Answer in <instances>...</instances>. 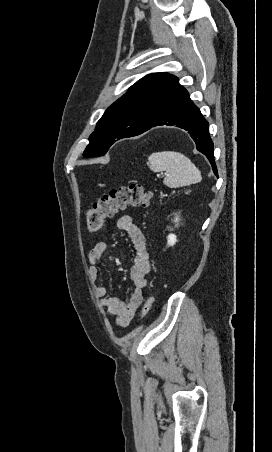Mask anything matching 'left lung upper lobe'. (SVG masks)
Instances as JSON below:
<instances>
[{
	"instance_id": "5c2ea615",
	"label": "left lung upper lobe",
	"mask_w": 272,
	"mask_h": 452,
	"mask_svg": "<svg viewBox=\"0 0 272 452\" xmlns=\"http://www.w3.org/2000/svg\"><path fill=\"white\" fill-rule=\"evenodd\" d=\"M180 87L178 79L168 73H152L137 81L105 111L83 156H102L115 141L144 132Z\"/></svg>"
}]
</instances>
